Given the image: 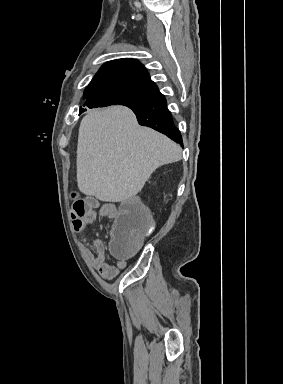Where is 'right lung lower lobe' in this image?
Here are the masks:
<instances>
[{
  "label": "right lung lower lobe",
  "mask_w": 283,
  "mask_h": 384,
  "mask_svg": "<svg viewBox=\"0 0 283 384\" xmlns=\"http://www.w3.org/2000/svg\"><path fill=\"white\" fill-rule=\"evenodd\" d=\"M136 114L140 125L151 127L183 146L180 131L177 129L167 108L165 97L159 92L157 99L144 107H129ZM83 111L80 112V114Z\"/></svg>",
  "instance_id": "1"
}]
</instances>
